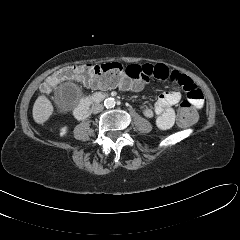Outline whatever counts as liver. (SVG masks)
I'll return each mask as SVG.
<instances>
[{"instance_id":"obj_1","label":"liver","mask_w":240,"mask_h":240,"mask_svg":"<svg viewBox=\"0 0 240 240\" xmlns=\"http://www.w3.org/2000/svg\"><path fill=\"white\" fill-rule=\"evenodd\" d=\"M53 113V106L49 99L41 95L39 96L33 106V119L38 124L45 123Z\"/></svg>"}]
</instances>
